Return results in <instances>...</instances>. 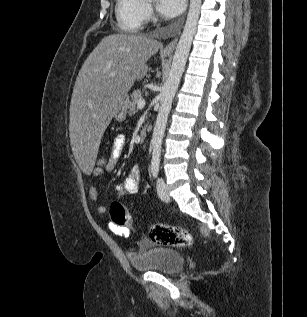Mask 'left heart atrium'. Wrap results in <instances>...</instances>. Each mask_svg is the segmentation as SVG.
<instances>
[{
  "mask_svg": "<svg viewBox=\"0 0 307 317\" xmlns=\"http://www.w3.org/2000/svg\"><path fill=\"white\" fill-rule=\"evenodd\" d=\"M186 0H157V10L166 17H175L182 13Z\"/></svg>",
  "mask_w": 307,
  "mask_h": 317,
  "instance_id": "39dd6f15",
  "label": "left heart atrium"
}]
</instances>
